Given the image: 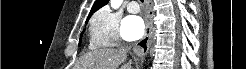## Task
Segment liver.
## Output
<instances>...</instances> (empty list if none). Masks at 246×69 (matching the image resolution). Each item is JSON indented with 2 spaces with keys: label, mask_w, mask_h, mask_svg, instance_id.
<instances>
[{
  "label": "liver",
  "mask_w": 246,
  "mask_h": 69,
  "mask_svg": "<svg viewBox=\"0 0 246 69\" xmlns=\"http://www.w3.org/2000/svg\"><path fill=\"white\" fill-rule=\"evenodd\" d=\"M127 58L122 48H102L86 53L80 59L76 69H117ZM131 61L121 69H132Z\"/></svg>",
  "instance_id": "6515ba94"
}]
</instances>
